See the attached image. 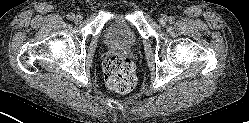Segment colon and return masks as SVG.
<instances>
[{
	"instance_id": "5ec220e1",
	"label": "colon",
	"mask_w": 249,
	"mask_h": 123,
	"mask_svg": "<svg viewBox=\"0 0 249 123\" xmlns=\"http://www.w3.org/2000/svg\"><path fill=\"white\" fill-rule=\"evenodd\" d=\"M104 75L106 85L119 93L131 91L137 83L133 63L121 55L111 56L105 61Z\"/></svg>"
}]
</instances>
